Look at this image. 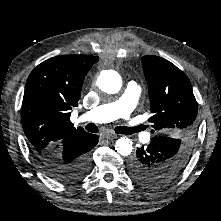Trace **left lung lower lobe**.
Returning <instances> with one entry per match:
<instances>
[{
    "instance_id": "0a47b994",
    "label": "left lung lower lobe",
    "mask_w": 221,
    "mask_h": 221,
    "mask_svg": "<svg viewBox=\"0 0 221 221\" xmlns=\"http://www.w3.org/2000/svg\"><path fill=\"white\" fill-rule=\"evenodd\" d=\"M167 139V137L155 136L151 139L149 145L137 148L136 155L129 163V172L135 181L140 183V181L144 180L147 176L162 174L160 163L163 155L166 154L164 153L166 150L164 141ZM169 182L171 181H165L164 185ZM142 185L160 187L156 183L148 180H145V184Z\"/></svg>"
}]
</instances>
